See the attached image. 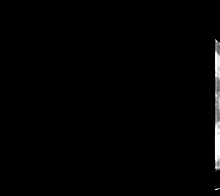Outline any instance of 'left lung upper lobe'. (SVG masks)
<instances>
[{
  "instance_id": "5c2ea615",
  "label": "left lung upper lobe",
  "mask_w": 220,
  "mask_h": 196,
  "mask_svg": "<svg viewBox=\"0 0 220 196\" xmlns=\"http://www.w3.org/2000/svg\"><path fill=\"white\" fill-rule=\"evenodd\" d=\"M140 62L148 79L146 133L160 144H173L192 123L193 75L185 62L169 52L143 48Z\"/></svg>"
}]
</instances>
